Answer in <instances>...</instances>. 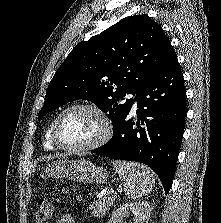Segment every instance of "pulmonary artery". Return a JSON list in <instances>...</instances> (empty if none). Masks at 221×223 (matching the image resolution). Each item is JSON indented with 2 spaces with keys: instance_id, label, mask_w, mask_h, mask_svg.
<instances>
[{
  "instance_id": "1",
  "label": "pulmonary artery",
  "mask_w": 221,
  "mask_h": 223,
  "mask_svg": "<svg viewBox=\"0 0 221 223\" xmlns=\"http://www.w3.org/2000/svg\"><path fill=\"white\" fill-rule=\"evenodd\" d=\"M125 98H133L134 99V105H133V108H132V110L133 111H136V109H137V101H136V99H135V97L133 96V95H126V97Z\"/></svg>"
}]
</instances>
